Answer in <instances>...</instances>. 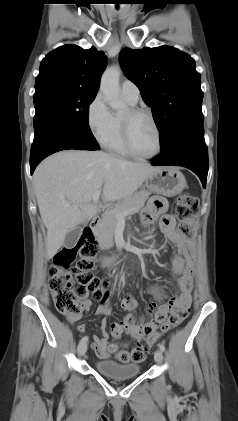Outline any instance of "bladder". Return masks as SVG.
Returning a JSON list of instances; mask_svg holds the SVG:
<instances>
[{
  "label": "bladder",
  "mask_w": 238,
  "mask_h": 421,
  "mask_svg": "<svg viewBox=\"0 0 238 421\" xmlns=\"http://www.w3.org/2000/svg\"><path fill=\"white\" fill-rule=\"evenodd\" d=\"M95 367L104 376L118 380L134 378L140 372L137 363H121L111 359L97 360Z\"/></svg>",
  "instance_id": "obj_1"
}]
</instances>
